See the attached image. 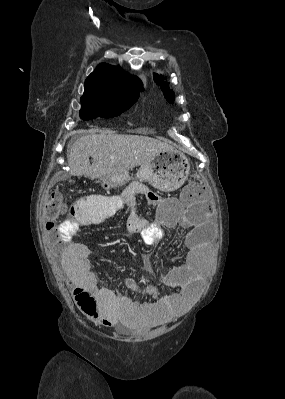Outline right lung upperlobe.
Returning a JSON list of instances; mask_svg holds the SVG:
<instances>
[{"label":"right lung upper lobe","mask_w":285,"mask_h":399,"mask_svg":"<svg viewBox=\"0 0 285 399\" xmlns=\"http://www.w3.org/2000/svg\"><path fill=\"white\" fill-rule=\"evenodd\" d=\"M143 85L139 78L130 76L119 67L99 64L85 80V91L81 99H104L139 95Z\"/></svg>","instance_id":"right-lung-upper-lobe-1"}]
</instances>
